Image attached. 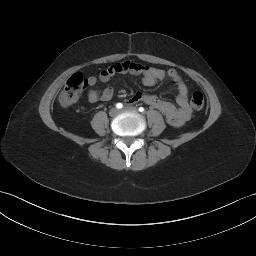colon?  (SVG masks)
Returning a JSON list of instances; mask_svg holds the SVG:
<instances>
[{"mask_svg": "<svg viewBox=\"0 0 256 256\" xmlns=\"http://www.w3.org/2000/svg\"><path fill=\"white\" fill-rule=\"evenodd\" d=\"M87 85V80L81 73H74L67 80L59 97L63 106H70L76 103ZM205 104V97L202 92L196 91L191 96V105L195 110H201Z\"/></svg>", "mask_w": 256, "mask_h": 256, "instance_id": "obj_1", "label": "colon"}]
</instances>
